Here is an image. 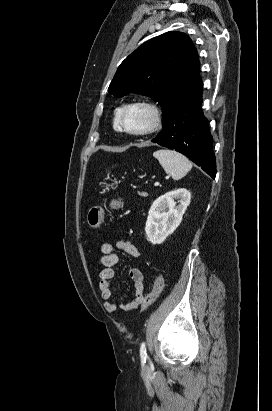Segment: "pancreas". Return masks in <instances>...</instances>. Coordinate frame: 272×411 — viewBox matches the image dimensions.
Returning a JSON list of instances; mask_svg holds the SVG:
<instances>
[{"label": "pancreas", "instance_id": "pancreas-1", "mask_svg": "<svg viewBox=\"0 0 272 411\" xmlns=\"http://www.w3.org/2000/svg\"><path fill=\"white\" fill-rule=\"evenodd\" d=\"M138 195L142 196V197H147L148 193L147 192H138Z\"/></svg>", "mask_w": 272, "mask_h": 411}]
</instances>
